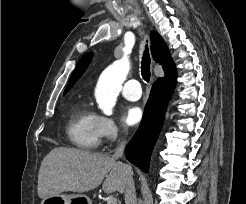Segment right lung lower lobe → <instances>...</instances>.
<instances>
[{"label": "right lung lower lobe", "instance_id": "right-lung-lower-lobe-1", "mask_svg": "<svg viewBox=\"0 0 246 204\" xmlns=\"http://www.w3.org/2000/svg\"><path fill=\"white\" fill-rule=\"evenodd\" d=\"M165 74V79L160 78L154 83L141 126L125 149L126 158L145 172H148L151 152L176 79L175 68Z\"/></svg>", "mask_w": 246, "mask_h": 204}]
</instances>
